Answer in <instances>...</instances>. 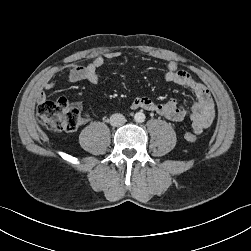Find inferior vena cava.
<instances>
[{
  "instance_id": "obj_1",
  "label": "inferior vena cava",
  "mask_w": 251,
  "mask_h": 251,
  "mask_svg": "<svg viewBox=\"0 0 251 251\" xmlns=\"http://www.w3.org/2000/svg\"><path fill=\"white\" fill-rule=\"evenodd\" d=\"M126 122V118L120 114V113H115L110 117V124L114 127H118L123 125Z\"/></svg>"
}]
</instances>
